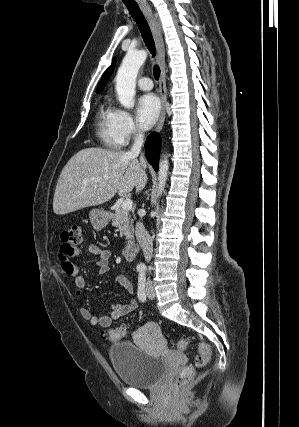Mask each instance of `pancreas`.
Wrapping results in <instances>:
<instances>
[{
  "label": "pancreas",
  "mask_w": 299,
  "mask_h": 427,
  "mask_svg": "<svg viewBox=\"0 0 299 427\" xmlns=\"http://www.w3.org/2000/svg\"><path fill=\"white\" fill-rule=\"evenodd\" d=\"M112 226L117 227L120 232V237H125L128 240L133 239V220L131 219L128 210H124L121 205L115 210L112 218Z\"/></svg>",
  "instance_id": "pancreas-1"
}]
</instances>
